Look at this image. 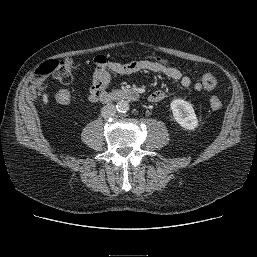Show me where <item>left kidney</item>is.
<instances>
[{
	"instance_id": "5707ae66",
	"label": "left kidney",
	"mask_w": 257,
	"mask_h": 257,
	"mask_svg": "<svg viewBox=\"0 0 257 257\" xmlns=\"http://www.w3.org/2000/svg\"><path fill=\"white\" fill-rule=\"evenodd\" d=\"M170 108L174 120L183 128L193 130L198 126V120L191 103L182 99H175L171 102Z\"/></svg>"
}]
</instances>
